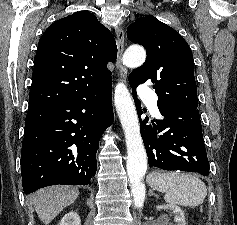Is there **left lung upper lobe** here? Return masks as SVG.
<instances>
[{
	"mask_svg": "<svg viewBox=\"0 0 237 225\" xmlns=\"http://www.w3.org/2000/svg\"><path fill=\"white\" fill-rule=\"evenodd\" d=\"M127 37L143 45L147 52L145 63L129 75L131 87L150 80L159 105L198 102L192 51L178 32L146 15L129 25Z\"/></svg>",
	"mask_w": 237,
	"mask_h": 225,
	"instance_id": "1",
	"label": "left lung upper lobe"
}]
</instances>
